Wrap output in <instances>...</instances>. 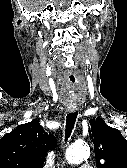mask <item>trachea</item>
I'll return each instance as SVG.
<instances>
[{"label": "trachea", "mask_w": 127, "mask_h": 168, "mask_svg": "<svg viewBox=\"0 0 127 168\" xmlns=\"http://www.w3.org/2000/svg\"><path fill=\"white\" fill-rule=\"evenodd\" d=\"M78 115V111H75L73 113H69L66 116V127H65V141L70 137V134L74 128L76 118Z\"/></svg>", "instance_id": "1"}]
</instances>
